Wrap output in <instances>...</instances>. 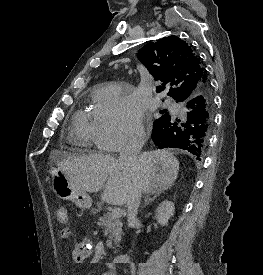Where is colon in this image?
Masks as SVG:
<instances>
[{
	"label": "colon",
	"mask_w": 263,
	"mask_h": 275,
	"mask_svg": "<svg viewBox=\"0 0 263 275\" xmlns=\"http://www.w3.org/2000/svg\"><path fill=\"white\" fill-rule=\"evenodd\" d=\"M56 217L59 223L66 224L69 220L68 209L64 206H61L56 211Z\"/></svg>",
	"instance_id": "5ec220e1"
}]
</instances>
